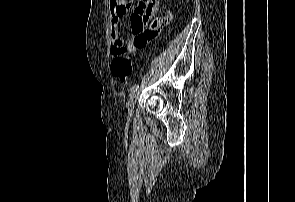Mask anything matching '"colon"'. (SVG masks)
Instances as JSON below:
<instances>
[{
	"label": "colon",
	"mask_w": 295,
	"mask_h": 202,
	"mask_svg": "<svg viewBox=\"0 0 295 202\" xmlns=\"http://www.w3.org/2000/svg\"><path fill=\"white\" fill-rule=\"evenodd\" d=\"M132 72V63L127 48L118 49L113 55L111 73L120 82H126Z\"/></svg>",
	"instance_id": "colon-1"
}]
</instances>
